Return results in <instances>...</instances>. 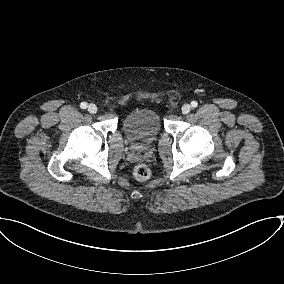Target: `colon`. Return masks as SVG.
<instances>
[{
	"label": "colon",
	"instance_id": "colon-1",
	"mask_svg": "<svg viewBox=\"0 0 284 284\" xmlns=\"http://www.w3.org/2000/svg\"><path fill=\"white\" fill-rule=\"evenodd\" d=\"M133 174L136 179L144 181L150 177V170L147 166L140 164L134 168Z\"/></svg>",
	"mask_w": 284,
	"mask_h": 284
}]
</instances>
